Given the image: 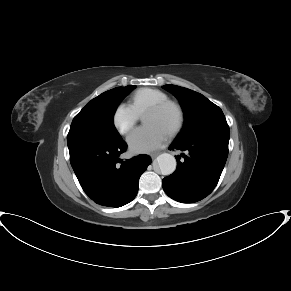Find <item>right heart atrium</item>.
I'll return each mask as SVG.
<instances>
[{"label": "right heart atrium", "instance_id": "d8ad5b80", "mask_svg": "<svg viewBox=\"0 0 291 291\" xmlns=\"http://www.w3.org/2000/svg\"><path fill=\"white\" fill-rule=\"evenodd\" d=\"M139 120L138 113L130 104H119L113 115V123L117 131L122 134H128Z\"/></svg>", "mask_w": 291, "mask_h": 291}]
</instances>
